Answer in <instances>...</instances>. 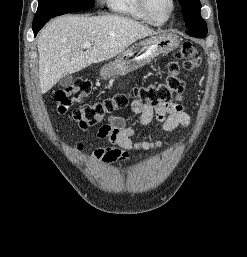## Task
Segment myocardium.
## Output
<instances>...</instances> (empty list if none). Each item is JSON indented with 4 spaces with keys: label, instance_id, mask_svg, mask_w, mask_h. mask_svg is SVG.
Instances as JSON below:
<instances>
[{
    "label": "myocardium",
    "instance_id": "obj_1",
    "mask_svg": "<svg viewBox=\"0 0 247 257\" xmlns=\"http://www.w3.org/2000/svg\"><path fill=\"white\" fill-rule=\"evenodd\" d=\"M169 1L171 4V9H170L169 14L163 19H156L151 11V7H150L151 0H139L141 10H142L143 14L145 15L146 19L148 20V22L150 24H153L156 26H161V25L166 24L173 17L175 10H176V2H175V0H169Z\"/></svg>",
    "mask_w": 247,
    "mask_h": 257
}]
</instances>
